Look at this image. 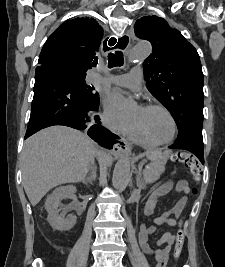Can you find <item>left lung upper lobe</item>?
Returning <instances> with one entry per match:
<instances>
[{
    "label": "left lung upper lobe",
    "instance_id": "obj_1",
    "mask_svg": "<svg viewBox=\"0 0 225 267\" xmlns=\"http://www.w3.org/2000/svg\"><path fill=\"white\" fill-rule=\"evenodd\" d=\"M135 34L152 44L144 61L150 93L171 113L178 126L177 140L203 125V72L199 55L183 35L157 16L136 21Z\"/></svg>",
    "mask_w": 225,
    "mask_h": 267
}]
</instances>
